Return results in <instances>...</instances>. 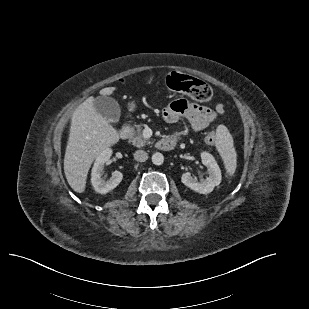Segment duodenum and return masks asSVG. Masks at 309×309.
Instances as JSON below:
<instances>
[{"label": "duodenum", "instance_id": "410a0bca", "mask_svg": "<svg viewBox=\"0 0 309 309\" xmlns=\"http://www.w3.org/2000/svg\"><path fill=\"white\" fill-rule=\"evenodd\" d=\"M119 138L121 140H126L129 136V129L127 127L122 128L119 131ZM176 145V140L172 138H163L156 143V148L161 151H169L172 150Z\"/></svg>", "mask_w": 309, "mask_h": 309}]
</instances>
